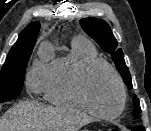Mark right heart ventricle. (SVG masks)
I'll use <instances>...</instances> for the list:
<instances>
[{
    "instance_id": "1",
    "label": "right heart ventricle",
    "mask_w": 151,
    "mask_h": 131,
    "mask_svg": "<svg viewBox=\"0 0 151 131\" xmlns=\"http://www.w3.org/2000/svg\"><path fill=\"white\" fill-rule=\"evenodd\" d=\"M98 58V51L90 41L73 39L69 53L48 64L42 90L45 99L56 105L79 106L71 93V83L86 63Z\"/></svg>"
}]
</instances>
